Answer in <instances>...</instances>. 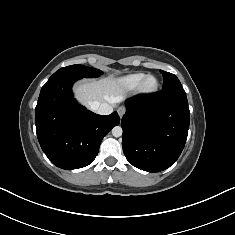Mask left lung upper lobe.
I'll use <instances>...</instances> for the list:
<instances>
[{"label": "left lung upper lobe", "mask_w": 235, "mask_h": 235, "mask_svg": "<svg viewBox=\"0 0 235 235\" xmlns=\"http://www.w3.org/2000/svg\"><path fill=\"white\" fill-rule=\"evenodd\" d=\"M161 74L164 77L163 81V89L175 88V87H182L178 78L169 72H165L160 70Z\"/></svg>", "instance_id": "obj_1"}]
</instances>
